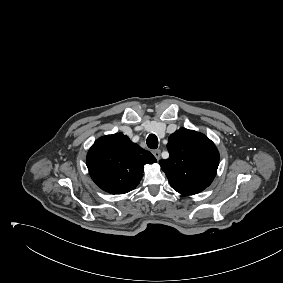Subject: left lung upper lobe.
Segmentation results:
<instances>
[{
    "instance_id": "1",
    "label": "left lung upper lobe",
    "mask_w": 283,
    "mask_h": 283,
    "mask_svg": "<svg viewBox=\"0 0 283 283\" xmlns=\"http://www.w3.org/2000/svg\"><path fill=\"white\" fill-rule=\"evenodd\" d=\"M167 148L169 158L159 164L171 187L181 195L200 193L213 181L219 153L205 135L181 128L170 135Z\"/></svg>"
}]
</instances>
